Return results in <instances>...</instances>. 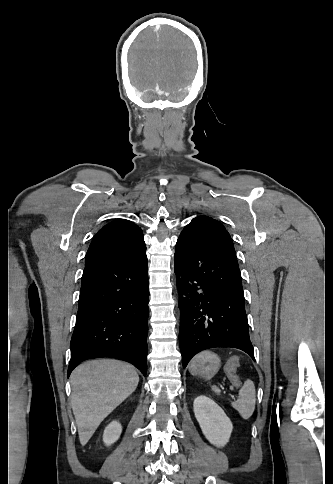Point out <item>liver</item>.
<instances>
[{"mask_svg":"<svg viewBox=\"0 0 333 484\" xmlns=\"http://www.w3.org/2000/svg\"><path fill=\"white\" fill-rule=\"evenodd\" d=\"M72 410L82 446L100 423L137 388L133 366L117 360H92L73 370Z\"/></svg>","mask_w":333,"mask_h":484,"instance_id":"1","label":"liver"}]
</instances>
